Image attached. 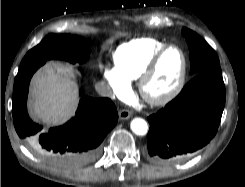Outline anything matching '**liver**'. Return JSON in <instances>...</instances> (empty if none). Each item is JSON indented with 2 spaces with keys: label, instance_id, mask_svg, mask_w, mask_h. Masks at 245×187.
Wrapping results in <instances>:
<instances>
[{
  "label": "liver",
  "instance_id": "liver-1",
  "mask_svg": "<svg viewBox=\"0 0 245 187\" xmlns=\"http://www.w3.org/2000/svg\"><path fill=\"white\" fill-rule=\"evenodd\" d=\"M31 113L37 119L55 126L74 115L77 106V87L58 63L39 70L31 84Z\"/></svg>",
  "mask_w": 245,
  "mask_h": 187
}]
</instances>
